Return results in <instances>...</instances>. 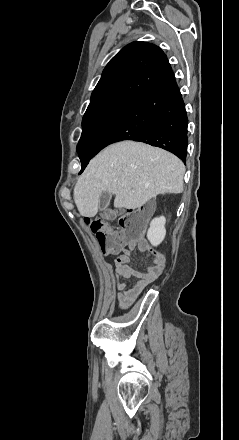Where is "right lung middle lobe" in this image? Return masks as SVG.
<instances>
[{
  "label": "right lung middle lobe",
  "instance_id": "1",
  "mask_svg": "<svg viewBox=\"0 0 239 440\" xmlns=\"http://www.w3.org/2000/svg\"><path fill=\"white\" fill-rule=\"evenodd\" d=\"M132 99L115 97L87 108L82 120V135L77 146L79 154L92 152L99 138L116 121Z\"/></svg>",
  "mask_w": 239,
  "mask_h": 440
}]
</instances>
